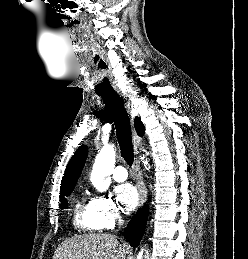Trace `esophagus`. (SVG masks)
<instances>
[{"label": "esophagus", "mask_w": 248, "mask_h": 259, "mask_svg": "<svg viewBox=\"0 0 248 259\" xmlns=\"http://www.w3.org/2000/svg\"><path fill=\"white\" fill-rule=\"evenodd\" d=\"M117 94L123 99L128 112L132 115L133 108L129 99L121 91H117ZM132 137H133V148H134L133 171L137 182V187L139 190L140 206H143L144 203L146 202V190L142 181L139 160L137 157L138 149L141 145V138L138 136L135 129H133Z\"/></svg>", "instance_id": "1"}]
</instances>
